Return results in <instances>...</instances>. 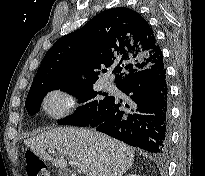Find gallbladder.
<instances>
[{"label": "gallbladder", "instance_id": "1", "mask_svg": "<svg viewBox=\"0 0 205 176\" xmlns=\"http://www.w3.org/2000/svg\"><path fill=\"white\" fill-rule=\"evenodd\" d=\"M66 170L65 169H61L59 171L60 176H65ZM67 176H70V174L68 173Z\"/></svg>", "mask_w": 205, "mask_h": 176}]
</instances>
